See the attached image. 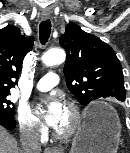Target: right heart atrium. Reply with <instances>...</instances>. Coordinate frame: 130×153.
Here are the masks:
<instances>
[{
	"instance_id": "d8ad5b80",
	"label": "right heart atrium",
	"mask_w": 130,
	"mask_h": 153,
	"mask_svg": "<svg viewBox=\"0 0 130 153\" xmlns=\"http://www.w3.org/2000/svg\"><path fill=\"white\" fill-rule=\"evenodd\" d=\"M16 120L21 134L31 139H41L44 134V126L40 119L25 106L17 110Z\"/></svg>"
}]
</instances>
